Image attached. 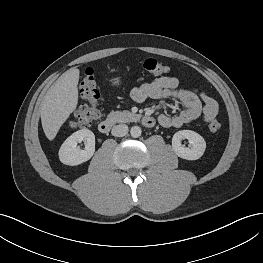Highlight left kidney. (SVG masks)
<instances>
[{"mask_svg":"<svg viewBox=\"0 0 263 263\" xmlns=\"http://www.w3.org/2000/svg\"><path fill=\"white\" fill-rule=\"evenodd\" d=\"M182 139L189 141V147L181 144ZM172 149L177 156L186 160H197L205 152L206 142L198 133L191 130H181L176 132L172 138Z\"/></svg>","mask_w":263,"mask_h":263,"instance_id":"1","label":"left kidney"}]
</instances>
